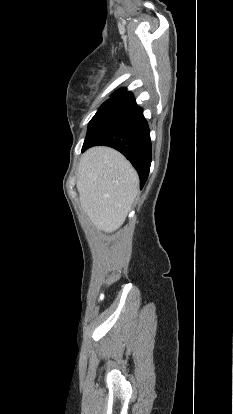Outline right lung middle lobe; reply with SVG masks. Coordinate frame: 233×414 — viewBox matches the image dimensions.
<instances>
[{"label":"right lung middle lobe","instance_id":"1","mask_svg":"<svg viewBox=\"0 0 233 414\" xmlns=\"http://www.w3.org/2000/svg\"><path fill=\"white\" fill-rule=\"evenodd\" d=\"M125 90H126V89H124V88L119 89L118 91H116L115 93H113V95H112V96L118 95V94H120V93L124 92Z\"/></svg>","mask_w":233,"mask_h":414}]
</instances>
